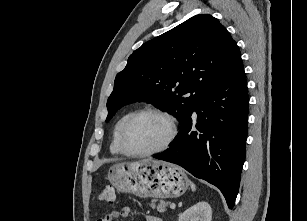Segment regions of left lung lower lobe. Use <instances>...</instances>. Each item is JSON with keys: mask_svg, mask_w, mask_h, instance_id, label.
Returning a JSON list of instances; mask_svg holds the SVG:
<instances>
[{"mask_svg": "<svg viewBox=\"0 0 307 221\" xmlns=\"http://www.w3.org/2000/svg\"><path fill=\"white\" fill-rule=\"evenodd\" d=\"M248 105L239 56L229 73L196 104L170 148L154 158L177 164L215 185L232 209L245 158ZM193 112L198 131L193 130Z\"/></svg>", "mask_w": 307, "mask_h": 221, "instance_id": "0a47b994", "label": "left lung lower lobe"}]
</instances>
